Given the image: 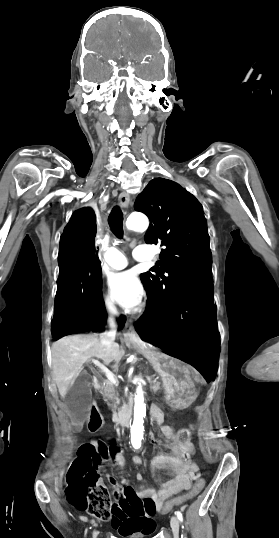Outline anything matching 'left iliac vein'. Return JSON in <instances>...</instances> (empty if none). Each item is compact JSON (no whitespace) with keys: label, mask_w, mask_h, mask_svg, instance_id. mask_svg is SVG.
I'll return each instance as SVG.
<instances>
[{"label":"left iliac vein","mask_w":279,"mask_h":538,"mask_svg":"<svg viewBox=\"0 0 279 538\" xmlns=\"http://www.w3.org/2000/svg\"><path fill=\"white\" fill-rule=\"evenodd\" d=\"M170 524H171V528H172L174 538H179V521H178V518L176 516H172Z\"/></svg>","instance_id":"4c4485c4"}]
</instances>
